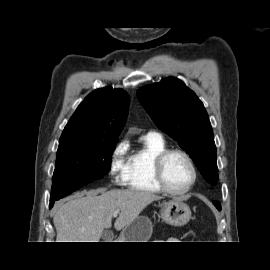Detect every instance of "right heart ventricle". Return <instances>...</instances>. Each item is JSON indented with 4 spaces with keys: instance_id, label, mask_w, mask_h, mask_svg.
Wrapping results in <instances>:
<instances>
[{
    "instance_id": "e07e8e85",
    "label": "right heart ventricle",
    "mask_w": 270,
    "mask_h": 270,
    "mask_svg": "<svg viewBox=\"0 0 270 270\" xmlns=\"http://www.w3.org/2000/svg\"><path fill=\"white\" fill-rule=\"evenodd\" d=\"M165 149L166 142L160 135L147 134L142 138V146L128 157L125 184L131 190L150 194L162 192L153 176V161Z\"/></svg>"
}]
</instances>
